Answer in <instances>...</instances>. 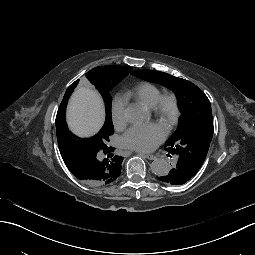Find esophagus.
<instances>
[{
	"label": "esophagus",
	"instance_id": "1",
	"mask_svg": "<svg viewBox=\"0 0 255 255\" xmlns=\"http://www.w3.org/2000/svg\"><path fill=\"white\" fill-rule=\"evenodd\" d=\"M147 159H149V160H154V159H156L157 157L155 156V155H153V154H145L144 155Z\"/></svg>",
	"mask_w": 255,
	"mask_h": 255
}]
</instances>
